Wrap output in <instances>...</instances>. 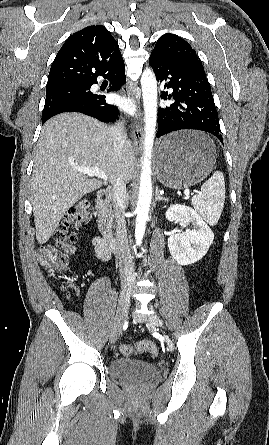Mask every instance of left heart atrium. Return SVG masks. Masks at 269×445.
<instances>
[{
  "label": "left heart atrium",
  "mask_w": 269,
  "mask_h": 445,
  "mask_svg": "<svg viewBox=\"0 0 269 445\" xmlns=\"http://www.w3.org/2000/svg\"><path fill=\"white\" fill-rule=\"evenodd\" d=\"M117 103L120 105V106H122L124 109H126L127 111H129V112H132L133 111V105H132V102L129 100V99H125V98H122V97H118L117 98Z\"/></svg>",
  "instance_id": "39dd6f15"
}]
</instances>
